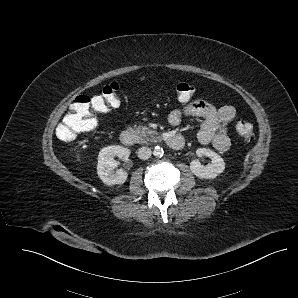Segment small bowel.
Instances as JSON below:
<instances>
[{
	"instance_id": "1",
	"label": "small bowel",
	"mask_w": 298,
	"mask_h": 298,
	"mask_svg": "<svg viewBox=\"0 0 298 298\" xmlns=\"http://www.w3.org/2000/svg\"><path fill=\"white\" fill-rule=\"evenodd\" d=\"M184 116L201 117L203 119L197 138L201 144H211L216 150L226 152L231 146L228 126L236 117L233 106L225 105L216 108L204 100H196L172 110L168 121L178 126Z\"/></svg>"
}]
</instances>
